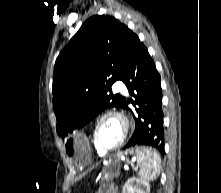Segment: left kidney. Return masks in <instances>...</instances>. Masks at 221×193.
I'll return each mask as SVG.
<instances>
[{
	"instance_id": "obj_1",
	"label": "left kidney",
	"mask_w": 221,
	"mask_h": 193,
	"mask_svg": "<svg viewBox=\"0 0 221 193\" xmlns=\"http://www.w3.org/2000/svg\"><path fill=\"white\" fill-rule=\"evenodd\" d=\"M122 193H150V185L145 180L133 177L124 184Z\"/></svg>"
}]
</instances>
